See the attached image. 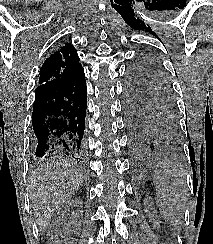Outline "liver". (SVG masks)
Instances as JSON below:
<instances>
[{
  "label": "liver",
  "instance_id": "obj_1",
  "mask_svg": "<svg viewBox=\"0 0 213 244\" xmlns=\"http://www.w3.org/2000/svg\"><path fill=\"white\" fill-rule=\"evenodd\" d=\"M82 183L81 171L65 160H53L32 173L29 198L40 230L47 227L55 211L79 190Z\"/></svg>",
  "mask_w": 213,
  "mask_h": 244
}]
</instances>
